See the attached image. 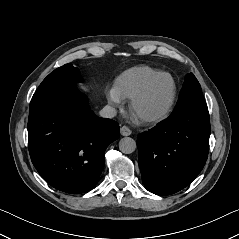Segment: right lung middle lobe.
I'll list each match as a JSON object with an SVG mask.
<instances>
[{
    "mask_svg": "<svg viewBox=\"0 0 239 239\" xmlns=\"http://www.w3.org/2000/svg\"><path fill=\"white\" fill-rule=\"evenodd\" d=\"M80 80L81 77L78 68L72 66L71 63L65 64L55 69L43 80V82L34 93L30 104L35 103L44 95L55 89L75 84Z\"/></svg>",
    "mask_w": 239,
    "mask_h": 239,
    "instance_id": "dd1d6c3e",
    "label": "right lung middle lobe"
}]
</instances>
